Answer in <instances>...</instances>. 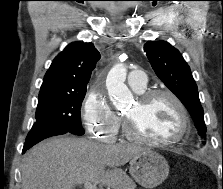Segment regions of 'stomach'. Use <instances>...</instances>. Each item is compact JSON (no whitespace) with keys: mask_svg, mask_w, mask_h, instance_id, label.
<instances>
[{"mask_svg":"<svg viewBox=\"0 0 223 189\" xmlns=\"http://www.w3.org/2000/svg\"><path fill=\"white\" fill-rule=\"evenodd\" d=\"M129 172L137 183L151 189L167 178L169 165L160 154L146 150L131 159Z\"/></svg>","mask_w":223,"mask_h":189,"instance_id":"1","label":"stomach"}]
</instances>
